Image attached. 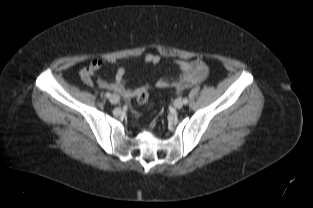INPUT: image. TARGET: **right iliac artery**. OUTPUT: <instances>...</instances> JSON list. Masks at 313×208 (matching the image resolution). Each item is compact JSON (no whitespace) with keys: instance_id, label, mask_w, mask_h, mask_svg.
<instances>
[{"instance_id":"right-iliac-artery-1","label":"right iliac artery","mask_w":313,"mask_h":208,"mask_svg":"<svg viewBox=\"0 0 313 208\" xmlns=\"http://www.w3.org/2000/svg\"><path fill=\"white\" fill-rule=\"evenodd\" d=\"M105 96H106L107 98H110V97H111V93L107 92V93L105 94Z\"/></svg>"}]
</instances>
